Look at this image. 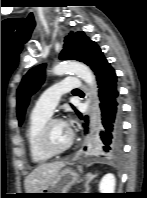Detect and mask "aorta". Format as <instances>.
I'll return each mask as SVG.
<instances>
[{
  "instance_id": "aorta-1",
  "label": "aorta",
  "mask_w": 147,
  "mask_h": 198,
  "mask_svg": "<svg viewBox=\"0 0 147 198\" xmlns=\"http://www.w3.org/2000/svg\"><path fill=\"white\" fill-rule=\"evenodd\" d=\"M54 75H64L66 73L72 72L85 81L92 88V98L94 100V110H99V101L97 96V84L95 77L88 66L77 61H68L64 63L57 64L52 70ZM96 122V116L91 119V125L94 127Z\"/></svg>"
}]
</instances>
